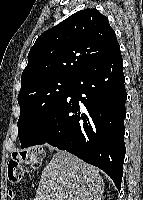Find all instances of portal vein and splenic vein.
Listing matches in <instances>:
<instances>
[{"label": "portal vein and splenic vein", "mask_w": 143, "mask_h": 200, "mask_svg": "<svg viewBox=\"0 0 143 200\" xmlns=\"http://www.w3.org/2000/svg\"><path fill=\"white\" fill-rule=\"evenodd\" d=\"M56 196H57V197H60V195H59V194H56Z\"/></svg>", "instance_id": "portal-vein-and-splenic-vein-1"}]
</instances>
